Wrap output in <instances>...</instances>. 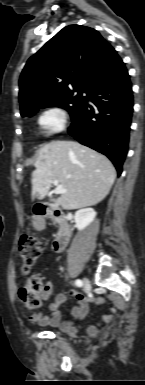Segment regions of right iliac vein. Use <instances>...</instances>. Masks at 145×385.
<instances>
[{
  "mask_svg": "<svg viewBox=\"0 0 145 385\" xmlns=\"http://www.w3.org/2000/svg\"><path fill=\"white\" fill-rule=\"evenodd\" d=\"M83 288L85 291H88L90 289V281L87 278L83 279Z\"/></svg>",
  "mask_w": 145,
  "mask_h": 385,
  "instance_id": "right-iliac-vein-1",
  "label": "right iliac vein"
}]
</instances>
